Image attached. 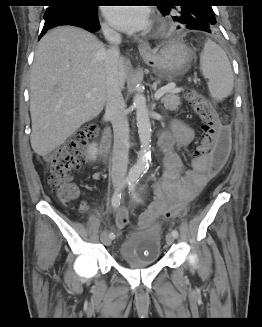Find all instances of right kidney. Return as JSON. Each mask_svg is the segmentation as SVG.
Masks as SVG:
<instances>
[{"label": "right kidney", "instance_id": "right-kidney-1", "mask_svg": "<svg viewBox=\"0 0 262 327\" xmlns=\"http://www.w3.org/2000/svg\"><path fill=\"white\" fill-rule=\"evenodd\" d=\"M98 155V148L96 144H91L88 148V158L89 160L95 161Z\"/></svg>", "mask_w": 262, "mask_h": 327}]
</instances>
